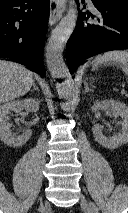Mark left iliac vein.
Segmentation results:
<instances>
[{
    "instance_id": "1",
    "label": "left iliac vein",
    "mask_w": 128,
    "mask_h": 213,
    "mask_svg": "<svg viewBox=\"0 0 128 213\" xmlns=\"http://www.w3.org/2000/svg\"><path fill=\"white\" fill-rule=\"evenodd\" d=\"M80 205L85 213H94L92 210V205L89 203L84 196L80 197Z\"/></svg>"
}]
</instances>
